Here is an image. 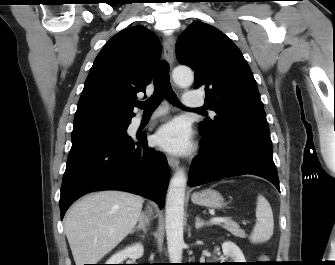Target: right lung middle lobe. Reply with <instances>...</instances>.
Returning <instances> with one entry per match:
<instances>
[{"label": "right lung middle lobe", "instance_id": "dd1d6c3e", "mask_svg": "<svg viewBox=\"0 0 335 265\" xmlns=\"http://www.w3.org/2000/svg\"><path fill=\"white\" fill-rule=\"evenodd\" d=\"M130 122L91 123L74 126L72 144L95 139H121L127 137Z\"/></svg>", "mask_w": 335, "mask_h": 265}]
</instances>
